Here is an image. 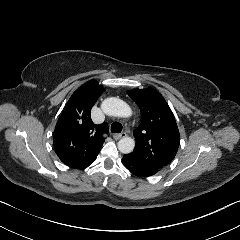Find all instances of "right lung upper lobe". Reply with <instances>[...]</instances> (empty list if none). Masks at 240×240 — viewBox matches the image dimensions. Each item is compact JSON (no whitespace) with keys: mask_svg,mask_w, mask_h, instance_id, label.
Instances as JSON below:
<instances>
[{"mask_svg":"<svg viewBox=\"0 0 240 240\" xmlns=\"http://www.w3.org/2000/svg\"><path fill=\"white\" fill-rule=\"evenodd\" d=\"M103 86L91 80L79 87L70 97L54 131V148L60 160L75 169L92 164L108 134L107 123L95 125L91 108L103 92Z\"/></svg>","mask_w":240,"mask_h":240,"instance_id":"cb5924a9","label":"right lung upper lobe"}]
</instances>
